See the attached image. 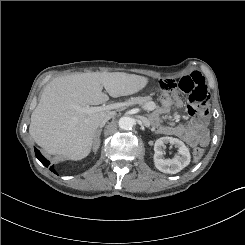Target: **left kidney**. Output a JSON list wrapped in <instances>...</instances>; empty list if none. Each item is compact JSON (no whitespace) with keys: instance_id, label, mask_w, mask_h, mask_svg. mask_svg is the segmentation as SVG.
<instances>
[{"instance_id":"5707ae66","label":"left kidney","mask_w":245,"mask_h":245,"mask_svg":"<svg viewBox=\"0 0 245 245\" xmlns=\"http://www.w3.org/2000/svg\"><path fill=\"white\" fill-rule=\"evenodd\" d=\"M171 144L178 148L179 155L172 159H165L163 156V148ZM154 164L155 167L168 174H176L189 165L191 156L187 146L179 139L173 137H161L156 140L154 145Z\"/></svg>"}]
</instances>
